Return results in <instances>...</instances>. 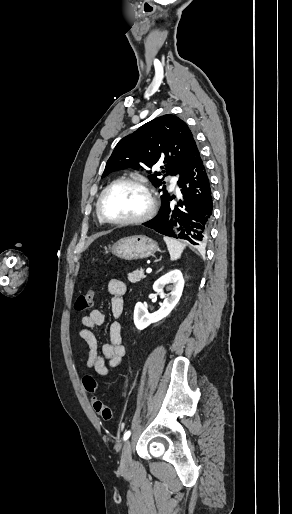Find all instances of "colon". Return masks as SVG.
<instances>
[{"instance_id": "1", "label": "colon", "mask_w": 292, "mask_h": 514, "mask_svg": "<svg viewBox=\"0 0 292 514\" xmlns=\"http://www.w3.org/2000/svg\"><path fill=\"white\" fill-rule=\"evenodd\" d=\"M95 292L92 288L83 291L77 298L75 303V308L79 312H84L89 310L94 303ZM83 385L85 389L88 391L89 395L97 394V383L95 379L92 377L91 373L83 374ZM94 409L96 412L101 415L105 420H108L112 417L113 413L109 406L102 403L100 400H94L92 402Z\"/></svg>"}]
</instances>
